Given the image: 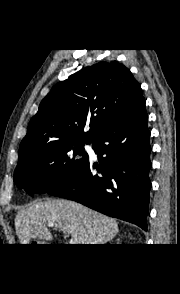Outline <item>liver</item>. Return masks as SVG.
<instances>
[{
  "mask_svg": "<svg viewBox=\"0 0 180 294\" xmlns=\"http://www.w3.org/2000/svg\"><path fill=\"white\" fill-rule=\"evenodd\" d=\"M53 222L64 234L78 240V244H106L119 229L116 220L68 200H48L32 203L18 211L15 229L20 244L31 238L52 240L47 224Z\"/></svg>",
  "mask_w": 180,
  "mask_h": 294,
  "instance_id": "liver-1",
  "label": "liver"
}]
</instances>
